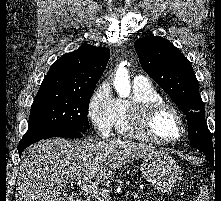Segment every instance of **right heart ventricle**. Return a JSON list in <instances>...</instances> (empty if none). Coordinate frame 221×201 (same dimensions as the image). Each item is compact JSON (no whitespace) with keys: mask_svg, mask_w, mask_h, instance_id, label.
Wrapping results in <instances>:
<instances>
[{"mask_svg":"<svg viewBox=\"0 0 221 201\" xmlns=\"http://www.w3.org/2000/svg\"><path fill=\"white\" fill-rule=\"evenodd\" d=\"M162 100L158 91L150 84L133 85V95L130 99H117V116L115 129L118 133L127 136L138 137L129 126V111L132 106L149 101Z\"/></svg>","mask_w":221,"mask_h":201,"instance_id":"right-heart-ventricle-1","label":"right heart ventricle"}]
</instances>
